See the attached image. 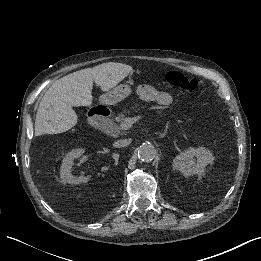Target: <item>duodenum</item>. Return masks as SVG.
I'll use <instances>...</instances> for the list:
<instances>
[{
	"mask_svg": "<svg viewBox=\"0 0 261 261\" xmlns=\"http://www.w3.org/2000/svg\"><path fill=\"white\" fill-rule=\"evenodd\" d=\"M109 116V107L105 104H98L87 112L86 119L92 128L99 129L104 125L105 120H107Z\"/></svg>",
	"mask_w": 261,
	"mask_h": 261,
	"instance_id": "410a0bca",
	"label": "duodenum"
}]
</instances>
